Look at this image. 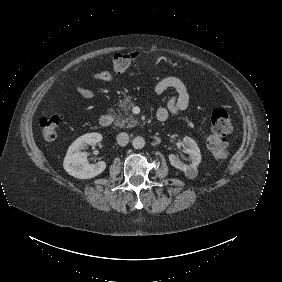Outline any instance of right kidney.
Returning a JSON list of instances; mask_svg holds the SVG:
<instances>
[{
    "mask_svg": "<svg viewBox=\"0 0 282 282\" xmlns=\"http://www.w3.org/2000/svg\"><path fill=\"white\" fill-rule=\"evenodd\" d=\"M102 138L100 133H87L77 138L69 146L63 162V167L69 175L79 179H90L105 170L106 163L104 161L89 164L87 153L82 151L88 145L102 141Z\"/></svg>",
    "mask_w": 282,
    "mask_h": 282,
    "instance_id": "ca27d5eb",
    "label": "right kidney"
}]
</instances>
